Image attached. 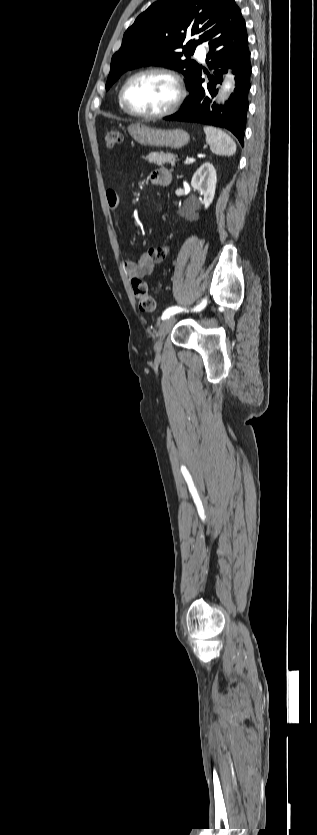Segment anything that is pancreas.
Returning <instances> with one entry per match:
<instances>
[{
  "label": "pancreas",
  "instance_id": "1",
  "mask_svg": "<svg viewBox=\"0 0 317 835\" xmlns=\"http://www.w3.org/2000/svg\"><path fill=\"white\" fill-rule=\"evenodd\" d=\"M176 155L172 153H163V152H151L146 156V159L151 164H156L158 166H162L166 163H170L176 160Z\"/></svg>",
  "mask_w": 317,
  "mask_h": 835
}]
</instances>
